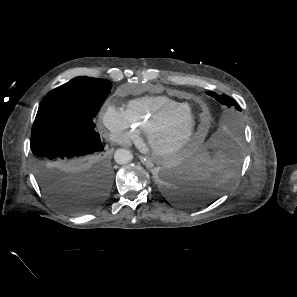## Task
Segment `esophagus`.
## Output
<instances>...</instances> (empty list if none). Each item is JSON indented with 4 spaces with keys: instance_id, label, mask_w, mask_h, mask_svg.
Wrapping results in <instances>:
<instances>
[{
    "instance_id": "34e87169",
    "label": "esophagus",
    "mask_w": 297,
    "mask_h": 297,
    "mask_svg": "<svg viewBox=\"0 0 297 297\" xmlns=\"http://www.w3.org/2000/svg\"><path fill=\"white\" fill-rule=\"evenodd\" d=\"M140 160L149 169L154 166L153 161L148 157L140 156Z\"/></svg>"
}]
</instances>
